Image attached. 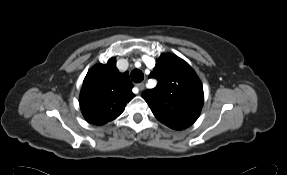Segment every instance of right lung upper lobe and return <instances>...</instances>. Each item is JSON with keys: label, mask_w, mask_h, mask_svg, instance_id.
Returning a JSON list of instances; mask_svg holds the SVG:
<instances>
[{"label": "right lung upper lobe", "mask_w": 287, "mask_h": 175, "mask_svg": "<svg viewBox=\"0 0 287 175\" xmlns=\"http://www.w3.org/2000/svg\"><path fill=\"white\" fill-rule=\"evenodd\" d=\"M128 72L120 73L115 58L97 64L87 73L80 93V107L85 119L103 125L117 118L135 96Z\"/></svg>", "instance_id": "obj_1"}]
</instances>
